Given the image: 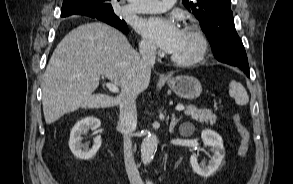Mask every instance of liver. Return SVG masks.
I'll list each match as a JSON object with an SVG mask.
<instances>
[{
    "label": "liver",
    "mask_w": 293,
    "mask_h": 184,
    "mask_svg": "<svg viewBox=\"0 0 293 184\" xmlns=\"http://www.w3.org/2000/svg\"><path fill=\"white\" fill-rule=\"evenodd\" d=\"M100 76L119 86L121 94H93ZM150 76L151 70L120 31L101 22L80 25L57 45L43 75L45 121L52 124L79 108L116 106L124 94L147 89Z\"/></svg>",
    "instance_id": "liver-1"
}]
</instances>
